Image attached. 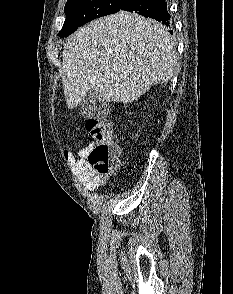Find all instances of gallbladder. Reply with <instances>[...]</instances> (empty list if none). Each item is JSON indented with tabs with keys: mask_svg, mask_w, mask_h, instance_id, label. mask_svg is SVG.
Listing matches in <instances>:
<instances>
[{
	"mask_svg": "<svg viewBox=\"0 0 233 294\" xmlns=\"http://www.w3.org/2000/svg\"><path fill=\"white\" fill-rule=\"evenodd\" d=\"M79 106L81 113L86 118L98 119L106 108V102L101 100L96 91L92 89L83 97Z\"/></svg>",
	"mask_w": 233,
	"mask_h": 294,
	"instance_id": "1",
	"label": "gallbladder"
}]
</instances>
